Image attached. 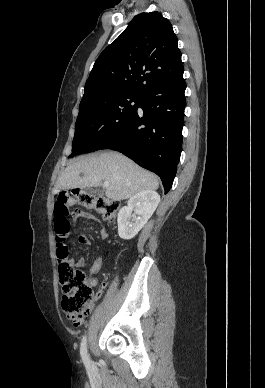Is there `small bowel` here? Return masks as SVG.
I'll return each instance as SVG.
<instances>
[{"instance_id": "1", "label": "small bowel", "mask_w": 265, "mask_h": 388, "mask_svg": "<svg viewBox=\"0 0 265 388\" xmlns=\"http://www.w3.org/2000/svg\"><path fill=\"white\" fill-rule=\"evenodd\" d=\"M71 204L72 205H76V202H72ZM72 217H73V219H77V218H85V219H90V220H94L95 219V217L91 213L86 212V211H82V210H76L75 212H73ZM99 236H100L101 239H106L107 238L108 234H107V231H106L105 228L102 227L99 230ZM79 241H80V243H82L85 246H91L93 244L92 239L89 236H85V235L80 236L79 237ZM68 262L72 266H74V267H82V266L85 265V260L83 258H78V259L71 258V259L68 260ZM102 264H103L102 257H98L92 263V265H91V267L89 269V276H88V279H87V282H88L90 287H94V286L97 285L98 281H97V278H96V274L100 271V269L102 267ZM105 288H106V283H103L102 286L100 287L99 291L96 294V297H95L96 299H99L102 296ZM92 308H93V303H91L90 306L88 307L87 313H89ZM81 321L78 322L75 325L81 324Z\"/></svg>"}]
</instances>
